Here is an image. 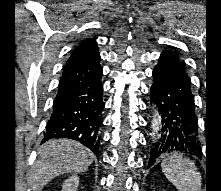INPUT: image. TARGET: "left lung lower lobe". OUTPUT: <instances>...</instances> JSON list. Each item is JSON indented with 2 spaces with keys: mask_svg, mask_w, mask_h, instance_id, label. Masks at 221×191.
Segmentation results:
<instances>
[{
  "mask_svg": "<svg viewBox=\"0 0 221 191\" xmlns=\"http://www.w3.org/2000/svg\"><path fill=\"white\" fill-rule=\"evenodd\" d=\"M150 92L162 118L161 135L151 150L148 167L168 153L185 152L201 158L198 120L185 62L169 51L152 72Z\"/></svg>",
  "mask_w": 221,
  "mask_h": 191,
  "instance_id": "obj_1",
  "label": "left lung lower lobe"
}]
</instances>
